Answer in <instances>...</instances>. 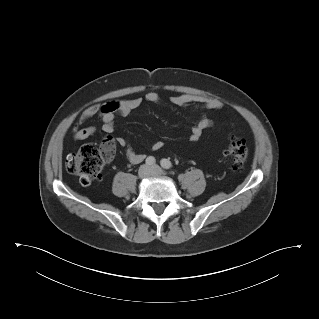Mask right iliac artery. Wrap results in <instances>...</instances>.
<instances>
[{
  "label": "right iliac artery",
  "instance_id": "1",
  "mask_svg": "<svg viewBox=\"0 0 319 319\" xmlns=\"http://www.w3.org/2000/svg\"><path fill=\"white\" fill-rule=\"evenodd\" d=\"M146 164H147V165H153V164H155V158L152 157V156H149V157L146 159Z\"/></svg>",
  "mask_w": 319,
  "mask_h": 319
}]
</instances>
